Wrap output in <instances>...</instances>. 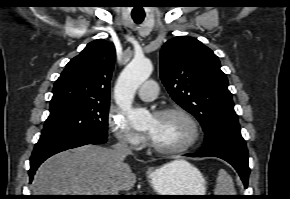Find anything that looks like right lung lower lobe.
I'll return each instance as SVG.
<instances>
[{"label":"right lung lower lobe","mask_w":290,"mask_h":199,"mask_svg":"<svg viewBox=\"0 0 290 199\" xmlns=\"http://www.w3.org/2000/svg\"><path fill=\"white\" fill-rule=\"evenodd\" d=\"M106 141H107L106 137L84 134L70 138H62L51 141L38 142L33 150L30 159L31 163L29 170L30 182L32 181L33 176L37 168L40 166V164L50 156L67 149L76 148L86 144L105 143Z\"/></svg>","instance_id":"right-lung-lower-lobe-1"}]
</instances>
